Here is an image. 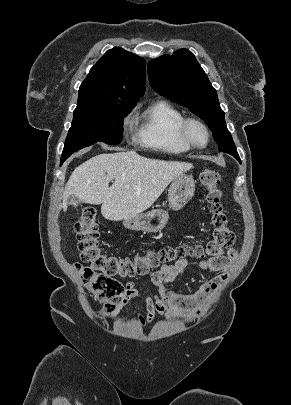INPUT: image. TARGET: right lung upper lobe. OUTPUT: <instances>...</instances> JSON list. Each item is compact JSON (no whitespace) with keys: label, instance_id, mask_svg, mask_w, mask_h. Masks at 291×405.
I'll list each match as a JSON object with an SVG mask.
<instances>
[{"label":"right lung upper lobe","instance_id":"right-lung-upper-lobe-1","mask_svg":"<svg viewBox=\"0 0 291 405\" xmlns=\"http://www.w3.org/2000/svg\"><path fill=\"white\" fill-rule=\"evenodd\" d=\"M146 62L120 47L108 50L79 88L77 107L113 104L135 107L145 92Z\"/></svg>","mask_w":291,"mask_h":405}]
</instances>
